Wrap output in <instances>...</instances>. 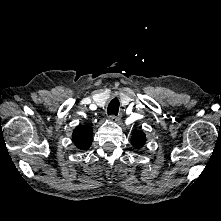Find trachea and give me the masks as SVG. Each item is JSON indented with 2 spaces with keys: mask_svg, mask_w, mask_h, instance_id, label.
Wrapping results in <instances>:
<instances>
[{
  "mask_svg": "<svg viewBox=\"0 0 221 221\" xmlns=\"http://www.w3.org/2000/svg\"><path fill=\"white\" fill-rule=\"evenodd\" d=\"M119 106H120L119 100L117 98L112 99L107 108L108 115L117 116L118 111H119Z\"/></svg>",
  "mask_w": 221,
  "mask_h": 221,
  "instance_id": "obj_1",
  "label": "trachea"
}]
</instances>
